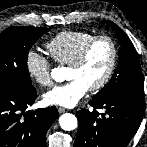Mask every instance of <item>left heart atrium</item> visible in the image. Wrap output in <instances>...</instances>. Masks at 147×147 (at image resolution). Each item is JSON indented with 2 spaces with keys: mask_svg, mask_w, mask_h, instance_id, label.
I'll return each instance as SVG.
<instances>
[{
  "mask_svg": "<svg viewBox=\"0 0 147 147\" xmlns=\"http://www.w3.org/2000/svg\"><path fill=\"white\" fill-rule=\"evenodd\" d=\"M89 89L90 87L83 80L73 79L47 91L43 99L47 105L71 108L78 104Z\"/></svg>",
  "mask_w": 147,
  "mask_h": 147,
  "instance_id": "obj_1",
  "label": "left heart atrium"
}]
</instances>
